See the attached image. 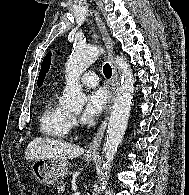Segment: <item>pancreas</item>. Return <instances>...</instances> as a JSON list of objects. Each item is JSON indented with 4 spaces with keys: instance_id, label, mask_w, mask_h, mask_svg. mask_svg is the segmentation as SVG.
I'll return each instance as SVG.
<instances>
[{
    "instance_id": "pancreas-1",
    "label": "pancreas",
    "mask_w": 189,
    "mask_h": 195,
    "mask_svg": "<svg viewBox=\"0 0 189 195\" xmlns=\"http://www.w3.org/2000/svg\"><path fill=\"white\" fill-rule=\"evenodd\" d=\"M64 188H65V184L63 182H57V192L59 193V195Z\"/></svg>"
}]
</instances>
